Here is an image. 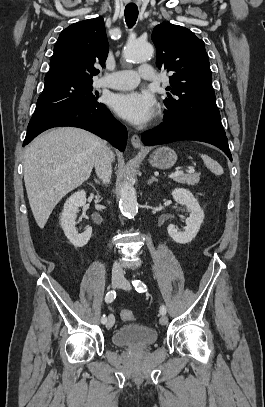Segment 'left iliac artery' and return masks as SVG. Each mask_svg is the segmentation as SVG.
Segmentation results:
<instances>
[{
	"label": "left iliac artery",
	"mask_w": 265,
	"mask_h": 407,
	"mask_svg": "<svg viewBox=\"0 0 265 407\" xmlns=\"http://www.w3.org/2000/svg\"><path fill=\"white\" fill-rule=\"evenodd\" d=\"M132 284L139 293L147 291L146 285L141 280H133ZM160 313L162 315L166 314V307L164 305L160 307Z\"/></svg>",
	"instance_id": "44dca946"
}]
</instances>
